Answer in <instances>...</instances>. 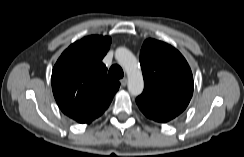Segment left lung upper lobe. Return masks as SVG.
Wrapping results in <instances>:
<instances>
[{
    "label": "left lung upper lobe",
    "mask_w": 244,
    "mask_h": 157,
    "mask_svg": "<svg viewBox=\"0 0 244 157\" xmlns=\"http://www.w3.org/2000/svg\"><path fill=\"white\" fill-rule=\"evenodd\" d=\"M144 91L136 98L143 114L156 122H168L181 114L193 95L191 69L171 45L147 39L140 51Z\"/></svg>",
    "instance_id": "1"
}]
</instances>
